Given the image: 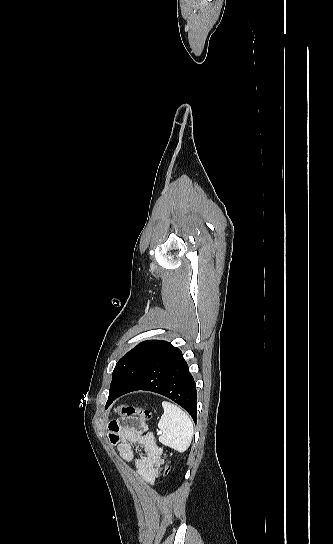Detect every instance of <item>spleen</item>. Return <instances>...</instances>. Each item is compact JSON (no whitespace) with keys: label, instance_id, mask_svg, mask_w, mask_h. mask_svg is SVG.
Here are the masks:
<instances>
[{"label":"spleen","instance_id":"1","mask_svg":"<svg viewBox=\"0 0 333 544\" xmlns=\"http://www.w3.org/2000/svg\"><path fill=\"white\" fill-rule=\"evenodd\" d=\"M164 413L158 423L162 431L159 441L172 449L185 451L193 437V424L190 417L178 406L164 401L162 402Z\"/></svg>","mask_w":333,"mask_h":544}]
</instances>
